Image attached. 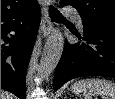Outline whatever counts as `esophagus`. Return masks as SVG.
<instances>
[{
    "label": "esophagus",
    "mask_w": 115,
    "mask_h": 99,
    "mask_svg": "<svg viewBox=\"0 0 115 99\" xmlns=\"http://www.w3.org/2000/svg\"><path fill=\"white\" fill-rule=\"evenodd\" d=\"M39 1L42 8V19L39 33L40 35L46 37L52 31V25H53L50 18L48 17L47 6L49 3H53V1L52 0H39Z\"/></svg>",
    "instance_id": "34e87169"
}]
</instances>
